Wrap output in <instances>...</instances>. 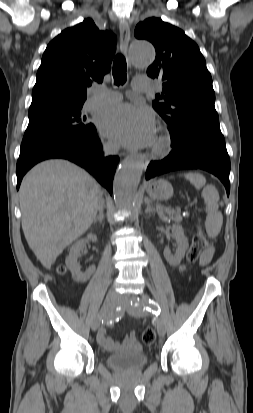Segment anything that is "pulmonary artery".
<instances>
[{
    "label": "pulmonary artery",
    "mask_w": 253,
    "mask_h": 413,
    "mask_svg": "<svg viewBox=\"0 0 253 413\" xmlns=\"http://www.w3.org/2000/svg\"><path fill=\"white\" fill-rule=\"evenodd\" d=\"M150 88L149 83H144L139 87H135L138 91H147ZM121 96L115 92L106 89H94L93 95L86 103V109H98L110 106L119 102Z\"/></svg>",
    "instance_id": "1"
}]
</instances>
